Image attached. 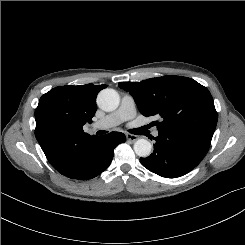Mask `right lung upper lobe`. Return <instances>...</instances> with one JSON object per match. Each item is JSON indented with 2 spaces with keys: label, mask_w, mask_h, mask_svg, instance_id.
<instances>
[{
  "label": "right lung upper lobe",
  "mask_w": 245,
  "mask_h": 245,
  "mask_svg": "<svg viewBox=\"0 0 245 245\" xmlns=\"http://www.w3.org/2000/svg\"><path fill=\"white\" fill-rule=\"evenodd\" d=\"M107 85L59 86L42 95L35 110V136L54 168H60L73 151L96 138L83 131L92 123L99 91Z\"/></svg>",
  "instance_id": "right-lung-upper-lobe-1"
}]
</instances>
